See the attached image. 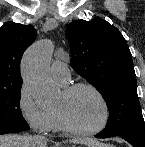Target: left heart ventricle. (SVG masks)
<instances>
[{
	"label": "left heart ventricle",
	"instance_id": "obj_1",
	"mask_svg": "<svg viewBox=\"0 0 145 147\" xmlns=\"http://www.w3.org/2000/svg\"><path fill=\"white\" fill-rule=\"evenodd\" d=\"M55 108L62 111L72 126L81 130L98 126L104 115L99 99L88 89H79L69 96L62 93Z\"/></svg>",
	"mask_w": 145,
	"mask_h": 147
}]
</instances>
